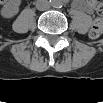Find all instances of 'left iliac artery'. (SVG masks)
Returning <instances> with one entry per match:
<instances>
[{
	"label": "left iliac artery",
	"mask_w": 103,
	"mask_h": 103,
	"mask_svg": "<svg viewBox=\"0 0 103 103\" xmlns=\"http://www.w3.org/2000/svg\"><path fill=\"white\" fill-rule=\"evenodd\" d=\"M58 7H59V8L62 7V3H61V2L58 3Z\"/></svg>",
	"instance_id": "1"
}]
</instances>
